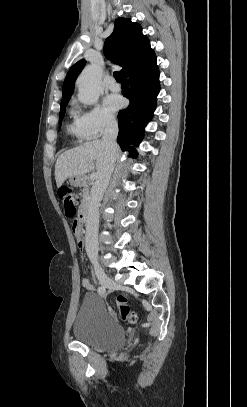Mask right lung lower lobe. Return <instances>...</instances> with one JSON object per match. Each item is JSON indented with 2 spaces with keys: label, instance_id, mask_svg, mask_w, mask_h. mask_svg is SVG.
<instances>
[{
  "label": "right lung lower lobe",
  "instance_id": "1",
  "mask_svg": "<svg viewBox=\"0 0 247 407\" xmlns=\"http://www.w3.org/2000/svg\"><path fill=\"white\" fill-rule=\"evenodd\" d=\"M122 81L123 96L130 100V104L119 111L117 142L123 151L130 150L135 156L137 153L130 143L137 146L142 140L143 128L153 116L160 90L156 56L128 70L122 75ZM132 135L134 137L130 139Z\"/></svg>",
  "mask_w": 247,
  "mask_h": 407
}]
</instances>
